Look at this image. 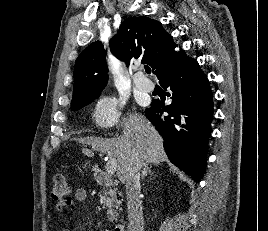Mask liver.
<instances>
[{
  "label": "liver",
  "mask_w": 268,
  "mask_h": 231,
  "mask_svg": "<svg viewBox=\"0 0 268 231\" xmlns=\"http://www.w3.org/2000/svg\"><path fill=\"white\" fill-rule=\"evenodd\" d=\"M121 126L123 133L118 138L87 137L78 141L90 149H83V153L92 156L94 151L112 155L117 162V176L124 182L127 168L133 153H137L145 163L159 164L167 160L163 149V139L143 116L137 113L125 117Z\"/></svg>",
  "instance_id": "liver-1"
}]
</instances>
